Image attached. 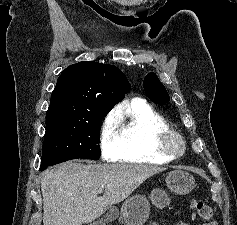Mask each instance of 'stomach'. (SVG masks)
<instances>
[{
	"instance_id": "0dacf381",
	"label": "stomach",
	"mask_w": 237,
	"mask_h": 225,
	"mask_svg": "<svg viewBox=\"0 0 237 225\" xmlns=\"http://www.w3.org/2000/svg\"><path fill=\"white\" fill-rule=\"evenodd\" d=\"M166 185L170 191L184 195L188 194L195 185L191 174L182 170H173L166 177ZM150 199L158 208H164L170 204L167 193L159 188L152 190ZM150 212L149 202L143 195H133L122 205L120 218L126 225H143Z\"/></svg>"
}]
</instances>
